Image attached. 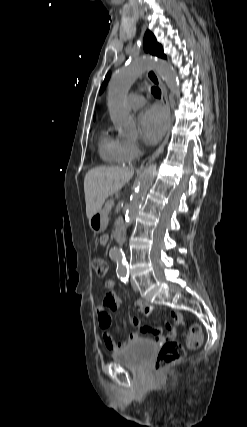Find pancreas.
<instances>
[{"label": "pancreas", "mask_w": 247, "mask_h": 427, "mask_svg": "<svg viewBox=\"0 0 247 427\" xmlns=\"http://www.w3.org/2000/svg\"><path fill=\"white\" fill-rule=\"evenodd\" d=\"M113 203H114L113 199L107 200L106 203H105L103 212L106 213V214H108L110 212L111 208L113 207Z\"/></svg>", "instance_id": "obj_1"}]
</instances>
